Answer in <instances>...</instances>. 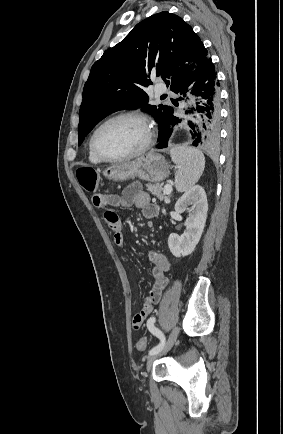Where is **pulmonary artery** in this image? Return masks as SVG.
<instances>
[{
	"label": "pulmonary artery",
	"instance_id": "e3ab8cb5",
	"mask_svg": "<svg viewBox=\"0 0 283 434\" xmlns=\"http://www.w3.org/2000/svg\"><path fill=\"white\" fill-rule=\"evenodd\" d=\"M154 91L157 95H162L167 92V87L163 83H159L155 86Z\"/></svg>",
	"mask_w": 283,
	"mask_h": 434
}]
</instances>
